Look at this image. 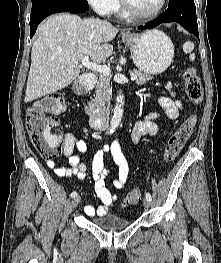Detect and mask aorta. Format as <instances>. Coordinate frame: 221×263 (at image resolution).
<instances>
[{
	"label": "aorta",
	"instance_id": "1",
	"mask_svg": "<svg viewBox=\"0 0 221 263\" xmlns=\"http://www.w3.org/2000/svg\"><path fill=\"white\" fill-rule=\"evenodd\" d=\"M116 99H117V105L114 109L113 116L110 121V130H109L110 133L115 132L123 116L124 96L121 93H119Z\"/></svg>",
	"mask_w": 221,
	"mask_h": 263
}]
</instances>
